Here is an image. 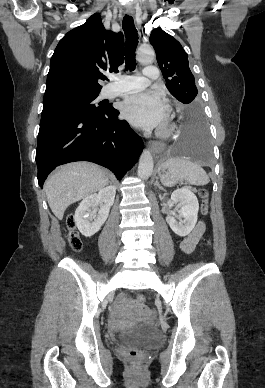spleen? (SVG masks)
Listing matches in <instances>:
<instances>
[{"label":"spleen","mask_w":265,"mask_h":388,"mask_svg":"<svg viewBox=\"0 0 265 388\" xmlns=\"http://www.w3.org/2000/svg\"><path fill=\"white\" fill-rule=\"evenodd\" d=\"M158 176L163 186H168V188L179 184L182 180L192 184V186H205L209 182V178L201 166L194 164L189 158H178V156L169 158L160 164Z\"/></svg>","instance_id":"obj_1"}]
</instances>
